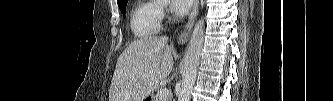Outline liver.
<instances>
[{
  "mask_svg": "<svg viewBox=\"0 0 333 101\" xmlns=\"http://www.w3.org/2000/svg\"><path fill=\"white\" fill-rule=\"evenodd\" d=\"M175 49L167 38L133 41L119 56L109 101H144L172 71Z\"/></svg>",
  "mask_w": 333,
  "mask_h": 101,
  "instance_id": "1",
  "label": "liver"
}]
</instances>
